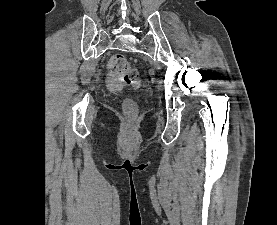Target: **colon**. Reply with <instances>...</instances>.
Here are the masks:
<instances>
[{
    "label": "colon",
    "mask_w": 277,
    "mask_h": 225,
    "mask_svg": "<svg viewBox=\"0 0 277 225\" xmlns=\"http://www.w3.org/2000/svg\"><path fill=\"white\" fill-rule=\"evenodd\" d=\"M108 67L112 73L121 77L126 86L135 87L138 85V70L129 64L124 55H113L109 60ZM122 111L129 119L135 118L138 113L136 102L132 99H125L122 103Z\"/></svg>",
    "instance_id": "1"
}]
</instances>
